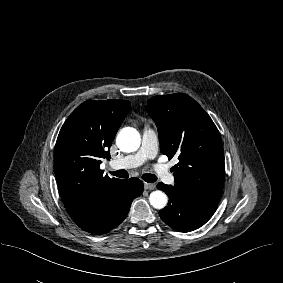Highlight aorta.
Segmentation results:
<instances>
[{"mask_svg":"<svg viewBox=\"0 0 283 283\" xmlns=\"http://www.w3.org/2000/svg\"><path fill=\"white\" fill-rule=\"evenodd\" d=\"M116 144L123 152H135L140 146V135L136 129L125 127L118 133ZM149 202L154 208L163 209L167 205L168 197L164 192L156 190L151 192Z\"/></svg>","mask_w":283,"mask_h":283,"instance_id":"1","label":"aorta"}]
</instances>
